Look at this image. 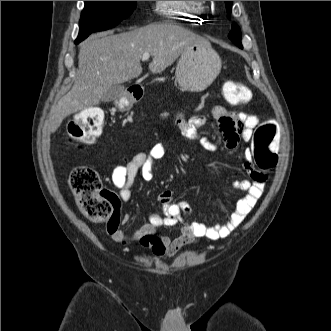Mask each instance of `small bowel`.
Instances as JSON below:
<instances>
[{
    "label": "small bowel",
    "mask_w": 331,
    "mask_h": 331,
    "mask_svg": "<svg viewBox=\"0 0 331 331\" xmlns=\"http://www.w3.org/2000/svg\"><path fill=\"white\" fill-rule=\"evenodd\" d=\"M212 117L223 134L224 144L227 149H234L239 141L250 142L254 128L258 125V118L247 113H234L227 111L223 106H214L209 115L186 116L180 112L176 115V124L182 136L191 142H197L207 150H216L218 143L199 136V129L203 127L208 118ZM165 143H157L148 152H140L131 159H124L118 164L111 175L113 185L118 189L122 201L131 199V187L141 174L143 179L151 180L154 175L156 161L167 153ZM245 162L243 167L249 179L236 180L233 186L245 192L235 205L234 211L223 224H206L202 222H189L182 218L183 215H191L192 209L185 201L173 202L172 192L165 190L159 194V201L163 206L164 215L153 213L149 223L141 226L133 232H126L117 227H110L108 233L111 238L122 245H128L132 241H139L141 246L149 249L155 256H173L182 247L194 243L200 238L218 240L226 238L252 211L257 201L263 194L267 175L264 170L258 169L253 163L251 149L245 150ZM130 215L122 217V224L130 221ZM180 225V233L176 236L157 235L156 229L161 226Z\"/></svg>",
    "instance_id": "obj_1"
}]
</instances>
